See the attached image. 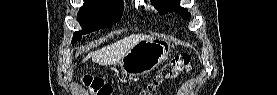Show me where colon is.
<instances>
[{
  "label": "colon",
  "mask_w": 277,
  "mask_h": 95,
  "mask_svg": "<svg viewBox=\"0 0 277 95\" xmlns=\"http://www.w3.org/2000/svg\"><path fill=\"white\" fill-rule=\"evenodd\" d=\"M190 60V56L186 53L175 56L160 69L158 74L149 82L147 89L141 94H152L164 80L174 78L179 74L188 71L190 68ZM84 82L86 85L91 86L96 94L110 95L112 93V87L100 79L89 77L86 78Z\"/></svg>",
  "instance_id": "1"
}]
</instances>
